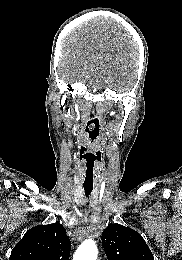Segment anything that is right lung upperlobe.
<instances>
[{"label":"right lung upper lobe","instance_id":"obj_1","mask_svg":"<svg viewBox=\"0 0 182 260\" xmlns=\"http://www.w3.org/2000/svg\"><path fill=\"white\" fill-rule=\"evenodd\" d=\"M71 244L60 223L29 229L12 249L9 260H69Z\"/></svg>","mask_w":182,"mask_h":260}]
</instances>
